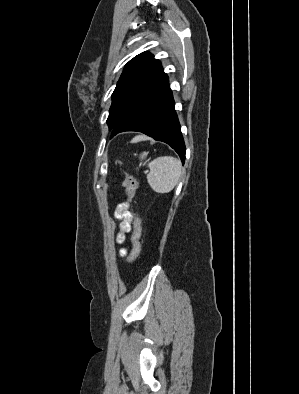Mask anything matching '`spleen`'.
I'll use <instances>...</instances> for the list:
<instances>
[{
  "mask_svg": "<svg viewBox=\"0 0 299 394\" xmlns=\"http://www.w3.org/2000/svg\"><path fill=\"white\" fill-rule=\"evenodd\" d=\"M150 169L147 181L156 193H169L177 185L181 171V163L174 157H158L148 163Z\"/></svg>",
  "mask_w": 299,
  "mask_h": 394,
  "instance_id": "obj_1",
  "label": "spleen"
}]
</instances>
